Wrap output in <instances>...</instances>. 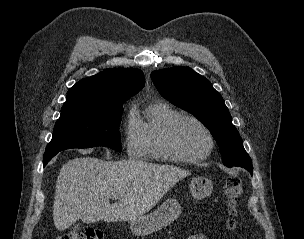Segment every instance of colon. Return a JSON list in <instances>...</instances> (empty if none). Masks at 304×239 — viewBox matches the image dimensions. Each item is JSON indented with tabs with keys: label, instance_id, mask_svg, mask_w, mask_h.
I'll use <instances>...</instances> for the list:
<instances>
[{
	"label": "colon",
	"instance_id": "1",
	"mask_svg": "<svg viewBox=\"0 0 304 239\" xmlns=\"http://www.w3.org/2000/svg\"><path fill=\"white\" fill-rule=\"evenodd\" d=\"M223 192L229 208L227 224L230 229H234L237 223L238 202L243 192L242 180L236 177L227 179ZM102 237L103 234L100 230L91 228L80 232L71 231L63 233L58 235L56 239H102Z\"/></svg>",
	"mask_w": 304,
	"mask_h": 239
}]
</instances>
